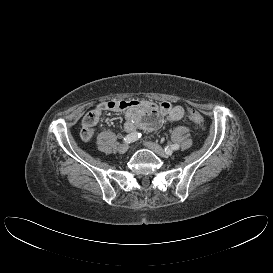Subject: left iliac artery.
Instances as JSON below:
<instances>
[{"label": "left iliac artery", "mask_w": 273, "mask_h": 273, "mask_svg": "<svg viewBox=\"0 0 273 273\" xmlns=\"http://www.w3.org/2000/svg\"><path fill=\"white\" fill-rule=\"evenodd\" d=\"M179 149V145L178 144H173V145H170V146H166L165 147V152L167 154H172L173 150H178Z\"/></svg>", "instance_id": "44dca946"}]
</instances>
